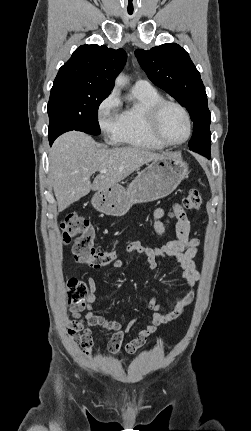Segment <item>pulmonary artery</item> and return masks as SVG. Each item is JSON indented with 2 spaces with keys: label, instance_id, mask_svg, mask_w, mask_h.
<instances>
[{
  "label": "pulmonary artery",
  "instance_id": "obj_1",
  "mask_svg": "<svg viewBox=\"0 0 251 431\" xmlns=\"http://www.w3.org/2000/svg\"><path fill=\"white\" fill-rule=\"evenodd\" d=\"M134 89H151L153 88L150 82L144 79H138L135 81L133 85Z\"/></svg>",
  "mask_w": 251,
  "mask_h": 431
}]
</instances>
